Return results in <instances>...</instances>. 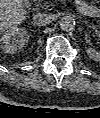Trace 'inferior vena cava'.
Listing matches in <instances>:
<instances>
[{"label": "inferior vena cava", "mask_w": 100, "mask_h": 118, "mask_svg": "<svg viewBox=\"0 0 100 118\" xmlns=\"http://www.w3.org/2000/svg\"><path fill=\"white\" fill-rule=\"evenodd\" d=\"M51 22V17L45 13H37L33 16V23L37 26H45Z\"/></svg>", "instance_id": "obj_1"}]
</instances>
